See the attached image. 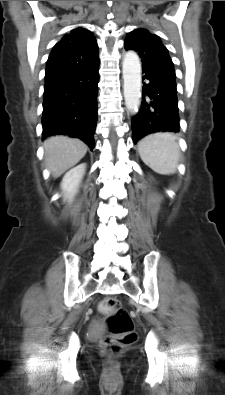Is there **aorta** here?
Wrapping results in <instances>:
<instances>
[{"label": "aorta", "instance_id": "1", "mask_svg": "<svg viewBox=\"0 0 225 395\" xmlns=\"http://www.w3.org/2000/svg\"><path fill=\"white\" fill-rule=\"evenodd\" d=\"M124 98L127 109L138 112L141 97V63L133 51L125 53L123 58Z\"/></svg>", "mask_w": 225, "mask_h": 395}]
</instances>
